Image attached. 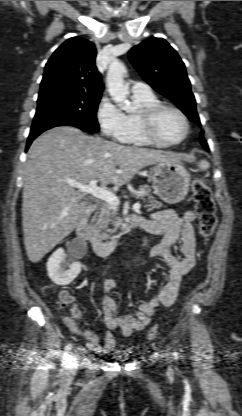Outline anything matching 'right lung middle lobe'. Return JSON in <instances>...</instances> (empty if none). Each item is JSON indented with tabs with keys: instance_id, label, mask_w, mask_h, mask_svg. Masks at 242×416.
I'll return each instance as SVG.
<instances>
[{
	"instance_id": "obj_1",
	"label": "right lung middle lobe",
	"mask_w": 242,
	"mask_h": 416,
	"mask_svg": "<svg viewBox=\"0 0 242 416\" xmlns=\"http://www.w3.org/2000/svg\"><path fill=\"white\" fill-rule=\"evenodd\" d=\"M100 98V94L66 91L39 95L31 129L71 120L81 123L86 131L97 132L96 112Z\"/></svg>"
}]
</instances>
